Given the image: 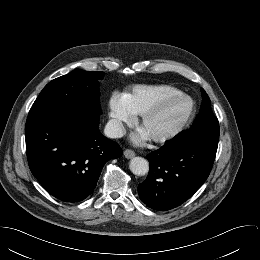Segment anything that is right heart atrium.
I'll return each mask as SVG.
<instances>
[{"mask_svg":"<svg viewBox=\"0 0 260 260\" xmlns=\"http://www.w3.org/2000/svg\"><path fill=\"white\" fill-rule=\"evenodd\" d=\"M108 129L113 136H121L125 125L134 120V114L129 109L125 95L113 93L109 99Z\"/></svg>","mask_w":260,"mask_h":260,"instance_id":"right-heart-atrium-1","label":"right heart atrium"}]
</instances>
